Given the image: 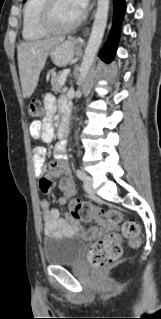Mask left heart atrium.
Here are the masks:
<instances>
[{"label":"left heart atrium","mask_w":161,"mask_h":319,"mask_svg":"<svg viewBox=\"0 0 161 319\" xmlns=\"http://www.w3.org/2000/svg\"><path fill=\"white\" fill-rule=\"evenodd\" d=\"M73 1H74V3H75L76 7H77L80 11H82V10L86 7V5H87V3H88V0H73Z\"/></svg>","instance_id":"1"}]
</instances>
